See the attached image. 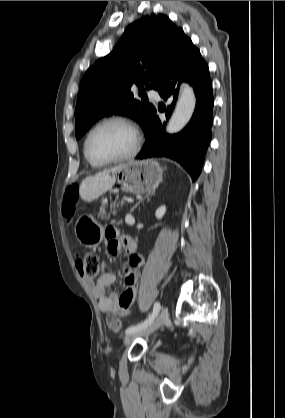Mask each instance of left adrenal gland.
<instances>
[{
  "label": "left adrenal gland",
  "instance_id": "a2214340",
  "mask_svg": "<svg viewBox=\"0 0 285 418\" xmlns=\"http://www.w3.org/2000/svg\"><path fill=\"white\" fill-rule=\"evenodd\" d=\"M153 193L154 192L148 193L145 197L139 199V201L131 208V211L133 212L141 202H143L146 198L150 196V194L152 195Z\"/></svg>",
  "mask_w": 285,
  "mask_h": 418
}]
</instances>
